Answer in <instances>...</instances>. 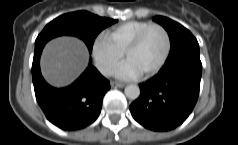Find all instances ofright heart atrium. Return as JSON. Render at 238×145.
<instances>
[{"label": "right heart atrium", "instance_id": "right-heart-atrium-1", "mask_svg": "<svg viewBox=\"0 0 238 145\" xmlns=\"http://www.w3.org/2000/svg\"><path fill=\"white\" fill-rule=\"evenodd\" d=\"M91 52L96 68L105 76L113 74L123 59V53L104 36H97L94 39Z\"/></svg>", "mask_w": 238, "mask_h": 145}]
</instances>
